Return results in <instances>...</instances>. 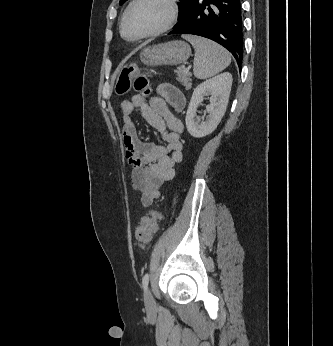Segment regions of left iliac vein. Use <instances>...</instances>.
<instances>
[{"label": "left iliac vein", "instance_id": "4c4485c4", "mask_svg": "<svg viewBox=\"0 0 333 346\" xmlns=\"http://www.w3.org/2000/svg\"><path fill=\"white\" fill-rule=\"evenodd\" d=\"M145 306H146V311L149 315H153L156 313V310H157L156 302L149 289L146 290L145 292Z\"/></svg>", "mask_w": 333, "mask_h": 346}]
</instances>
